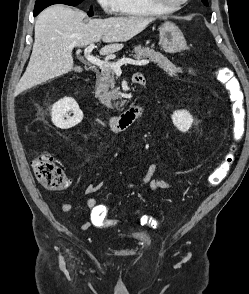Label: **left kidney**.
<instances>
[{
	"label": "left kidney",
	"mask_w": 249,
	"mask_h": 294,
	"mask_svg": "<svg viewBox=\"0 0 249 294\" xmlns=\"http://www.w3.org/2000/svg\"><path fill=\"white\" fill-rule=\"evenodd\" d=\"M174 126L181 132H187L193 123V117L187 110H177L172 114Z\"/></svg>",
	"instance_id": "1"
}]
</instances>
